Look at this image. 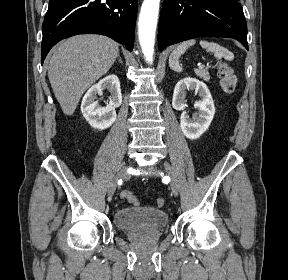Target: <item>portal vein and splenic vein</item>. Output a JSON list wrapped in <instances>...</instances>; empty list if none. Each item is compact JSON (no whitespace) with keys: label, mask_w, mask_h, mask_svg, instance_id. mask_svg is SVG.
<instances>
[{"label":"portal vein and splenic vein","mask_w":288,"mask_h":280,"mask_svg":"<svg viewBox=\"0 0 288 280\" xmlns=\"http://www.w3.org/2000/svg\"><path fill=\"white\" fill-rule=\"evenodd\" d=\"M198 67H199V68H202V67H203V65H201V64H198Z\"/></svg>","instance_id":"portal-vein-and-splenic-vein-1"}]
</instances>
